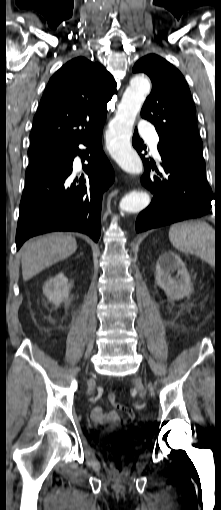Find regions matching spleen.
Listing matches in <instances>:
<instances>
[{"label": "spleen", "instance_id": "spleen-1", "mask_svg": "<svg viewBox=\"0 0 221 510\" xmlns=\"http://www.w3.org/2000/svg\"><path fill=\"white\" fill-rule=\"evenodd\" d=\"M169 240L179 251L199 256L212 264L214 260V230L203 221H185L173 224Z\"/></svg>", "mask_w": 221, "mask_h": 510}]
</instances>
